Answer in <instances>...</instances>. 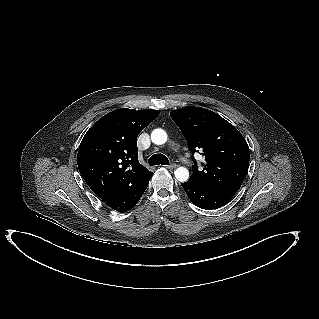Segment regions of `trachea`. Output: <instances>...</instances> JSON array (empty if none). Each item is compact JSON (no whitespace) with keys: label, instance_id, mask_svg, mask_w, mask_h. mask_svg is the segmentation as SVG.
<instances>
[{"label":"trachea","instance_id":"3493384b","mask_svg":"<svg viewBox=\"0 0 319 319\" xmlns=\"http://www.w3.org/2000/svg\"><path fill=\"white\" fill-rule=\"evenodd\" d=\"M149 165L154 166V165H169V160L168 158L163 155V154H154L151 156L148 160Z\"/></svg>","mask_w":319,"mask_h":319}]
</instances>
